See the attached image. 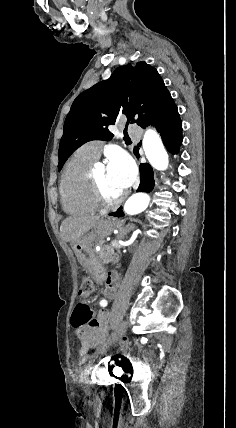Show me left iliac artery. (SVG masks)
Here are the masks:
<instances>
[{
	"label": "left iliac artery",
	"mask_w": 236,
	"mask_h": 428,
	"mask_svg": "<svg viewBox=\"0 0 236 428\" xmlns=\"http://www.w3.org/2000/svg\"><path fill=\"white\" fill-rule=\"evenodd\" d=\"M100 305L105 307V306L107 305V301H106V300H102V301L100 302Z\"/></svg>",
	"instance_id": "left-iliac-artery-1"
}]
</instances>
